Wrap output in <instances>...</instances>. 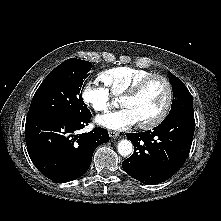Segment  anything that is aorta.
<instances>
[{"label":"aorta","instance_id":"1","mask_svg":"<svg viewBox=\"0 0 221 221\" xmlns=\"http://www.w3.org/2000/svg\"><path fill=\"white\" fill-rule=\"evenodd\" d=\"M117 149L121 156H128L133 151V144L131 141L123 139L118 142Z\"/></svg>","mask_w":221,"mask_h":221}]
</instances>
